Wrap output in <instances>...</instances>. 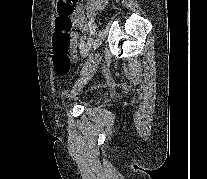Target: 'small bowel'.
I'll return each mask as SVG.
<instances>
[{
  "label": "small bowel",
  "mask_w": 207,
  "mask_h": 179,
  "mask_svg": "<svg viewBox=\"0 0 207 179\" xmlns=\"http://www.w3.org/2000/svg\"><path fill=\"white\" fill-rule=\"evenodd\" d=\"M107 0H87L86 4V10L88 14L93 15L98 10L102 9ZM75 22L80 27V29H84L86 27V18L84 16V11L81 6H79L76 10L75 16H74ZM78 35L76 33L73 34V43L71 46V51L75 55L77 48H78V42H77Z\"/></svg>",
  "instance_id": "obj_1"
}]
</instances>
